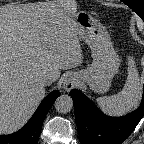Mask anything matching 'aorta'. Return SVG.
<instances>
[{"label": "aorta", "mask_w": 144, "mask_h": 144, "mask_svg": "<svg viewBox=\"0 0 144 144\" xmlns=\"http://www.w3.org/2000/svg\"><path fill=\"white\" fill-rule=\"evenodd\" d=\"M55 108L59 113H68L73 108V100L69 95H60L55 101Z\"/></svg>", "instance_id": "obj_1"}]
</instances>
